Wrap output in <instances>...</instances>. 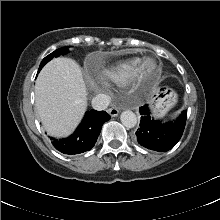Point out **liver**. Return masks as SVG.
<instances>
[{"mask_svg": "<svg viewBox=\"0 0 220 220\" xmlns=\"http://www.w3.org/2000/svg\"><path fill=\"white\" fill-rule=\"evenodd\" d=\"M36 107L48 134L69 135L87 108V91L80 66L70 58L47 63L35 84Z\"/></svg>", "mask_w": 220, "mask_h": 220, "instance_id": "1", "label": "liver"}]
</instances>
